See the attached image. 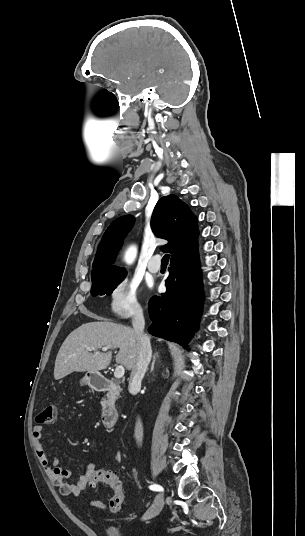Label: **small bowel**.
Returning <instances> with one entry per match:
<instances>
[{
	"label": "small bowel",
	"instance_id": "1",
	"mask_svg": "<svg viewBox=\"0 0 305 536\" xmlns=\"http://www.w3.org/2000/svg\"><path fill=\"white\" fill-rule=\"evenodd\" d=\"M43 427H33L32 440L34 449L41 466L45 473L50 478L51 482L58 488L61 496H79L81 492L87 490L88 482L91 480V470L94 463L87 464L79 477L73 481L68 480L72 477V471L61 465L60 459L57 457L50 458L42 443ZM90 505L100 510H108L109 505L100 499H93Z\"/></svg>",
	"mask_w": 305,
	"mask_h": 536
}]
</instances>
